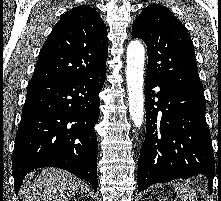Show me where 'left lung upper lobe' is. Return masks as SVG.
Masks as SVG:
<instances>
[{"instance_id":"5c2ea615","label":"left lung upper lobe","mask_w":221,"mask_h":201,"mask_svg":"<svg viewBox=\"0 0 221 201\" xmlns=\"http://www.w3.org/2000/svg\"><path fill=\"white\" fill-rule=\"evenodd\" d=\"M132 36L147 46L148 76L165 86L203 93L191 38L166 7H146L133 22Z\"/></svg>"}]
</instances>
